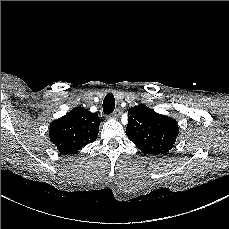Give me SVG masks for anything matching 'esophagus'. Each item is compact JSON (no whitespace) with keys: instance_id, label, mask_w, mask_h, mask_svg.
<instances>
[{"instance_id":"esophagus-1","label":"esophagus","mask_w":229,"mask_h":229,"mask_svg":"<svg viewBox=\"0 0 229 229\" xmlns=\"http://www.w3.org/2000/svg\"><path fill=\"white\" fill-rule=\"evenodd\" d=\"M120 114H121V111L119 110V109H116L114 112H113V117L114 118H118L119 116H120Z\"/></svg>"}]
</instances>
